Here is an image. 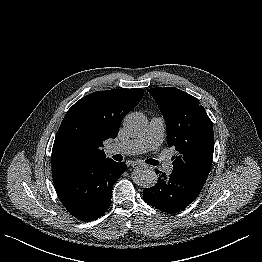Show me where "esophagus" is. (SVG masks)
Here are the masks:
<instances>
[{
    "label": "esophagus",
    "mask_w": 262,
    "mask_h": 262,
    "mask_svg": "<svg viewBox=\"0 0 262 262\" xmlns=\"http://www.w3.org/2000/svg\"><path fill=\"white\" fill-rule=\"evenodd\" d=\"M133 168H140V167H146V165L140 163V162H133L131 165Z\"/></svg>",
    "instance_id": "obj_1"
}]
</instances>
